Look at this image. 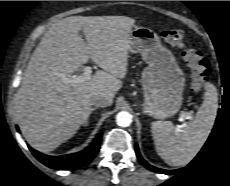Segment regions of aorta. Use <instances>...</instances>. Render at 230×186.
I'll return each mask as SVG.
<instances>
[{
  "mask_svg": "<svg viewBox=\"0 0 230 186\" xmlns=\"http://www.w3.org/2000/svg\"><path fill=\"white\" fill-rule=\"evenodd\" d=\"M116 123L121 127H128L132 123V115L127 111H121L116 115Z\"/></svg>",
  "mask_w": 230,
  "mask_h": 186,
  "instance_id": "1",
  "label": "aorta"
}]
</instances>
